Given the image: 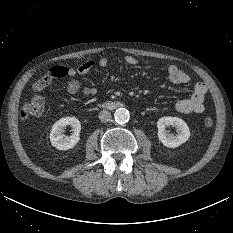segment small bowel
<instances>
[{"instance_id": "small-bowel-1", "label": "small bowel", "mask_w": 233, "mask_h": 233, "mask_svg": "<svg viewBox=\"0 0 233 233\" xmlns=\"http://www.w3.org/2000/svg\"><path fill=\"white\" fill-rule=\"evenodd\" d=\"M125 61L129 65H138L140 61L133 55H127ZM109 64V58L101 57L97 62L88 60L79 65L77 68L54 66L50 70L38 79L34 85L33 90L40 92L47 88L56 78H72L67 84V91L69 94L74 95L81 92L84 96L93 97L97 91L94 88L85 87L81 89L80 83L74 77L77 74L84 75L90 72L96 65L103 69ZM168 78L174 85H185L190 82V76L180 70L175 65H170L167 68ZM207 87L203 82H197L194 84L193 92L190 97L178 100L175 104L177 112L182 114L202 113L205 110V94Z\"/></svg>"}]
</instances>
